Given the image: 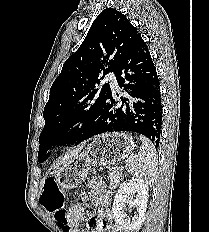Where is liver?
Listing matches in <instances>:
<instances>
[{"label": "liver", "mask_w": 209, "mask_h": 232, "mask_svg": "<svg viewBox=\"0 0 209 232\" xmlns=\"http://www.w3.org/2000/svg\"><path fill=\"white\" fill-rule=\"evenodd\" d=\"M84 145H82L81 147H78L72 151H70L68 154L65 155V157L60 160L55 167H57L58 165L64 164L66 161H68L70 158L74 157L82 148Z\"/></svg>", "instance_id": "liver-1"}]
</instances>
